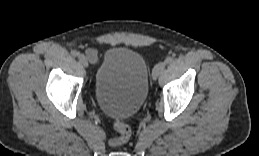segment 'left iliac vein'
Instances as JSON below:
<instances>
[{
	"instance_id": "1",
	"label": "left iliac vein",
	"mask_w": 259,
	"mask_h": 156,
	"mask_svg": "<svg viewBox=\"0 0 259 156\" xmlns=\"http://www.w3.org/2000/svg\"><path fill=\"white\" fill-rule=\"evenodd\" d=\"M165 65L166 64L164 62H159L158 64L155 65V67L153 68V71H152V79L153 80H156L158 78V76L164 70Z\"/></svg>"
}]
</instances>
